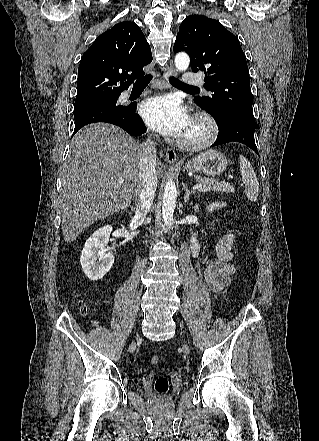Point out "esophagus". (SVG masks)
Here are the masks:
<instances>
[{
	"mask_svg": "<svg viewBox=\"0 0 319 441\" xmlns=\"http://www.w3.org/2000/svg\"><path fill=\"white\" fill-rule=\"evenodd\" d=\"M176 75H177V72H176L175 68L172 65H168L165 73L163 74L164 82L168 85L169 84V81H168L169 77L176 76ZM166 159L169 164L176 163L177 155H176V152L172 148H169V147L167 148Z\"/></svg>",
	"mask_w": 319,
	"mask_h": 441,
	"instance_id": "esophagus-1",
	"label": "esophagus"
}]
</instances>
